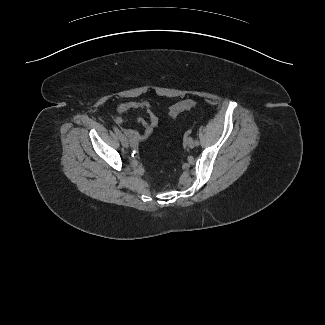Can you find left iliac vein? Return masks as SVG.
<instances>
[{
    "label": "left iliac vein",
    "mask_w": 325,
    "mask_h": 325,
    "mask_svg": "<svg viewBox=\"0 0 325 325\" xmlns=\"http://www.w3.org/2000/svg\"><path fill=\"white\" fill-rule=\"evenodd\" d=\"M187 145H188L189 148H194L195 147V142L191 137H189L187 139Z\"/></svg>",
    "instance_id": "4c4485c4"
}]
</instances>
